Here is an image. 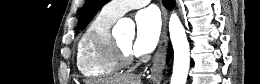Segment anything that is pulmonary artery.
I'll list each match as a JSON object with an SVG mask.
<instances>
[{"instance_id": "pulmonary-artery-1", "label": "pulmonary artery", "mask_w": 260, "mask_h": 84, "mask_svg": "<svg viewBox=\"0 0 260 84\" xmlns=\"http://www.w3.org/2000/svg\"><path fill=\"white\" fill-rule=\"evenodd\" d=\"M149 2L148 0L111 1L104 7V10L110 16L118 18L127 11L142 7Z\"/></svg>"}]
</instances>
